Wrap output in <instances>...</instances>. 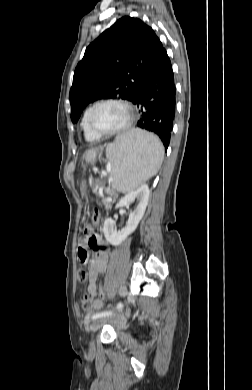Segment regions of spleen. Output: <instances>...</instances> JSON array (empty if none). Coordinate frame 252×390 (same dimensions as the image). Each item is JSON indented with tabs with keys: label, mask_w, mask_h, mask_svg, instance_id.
I'll return each mask as SVG.
<instances>
[{
	"label": "spleen",
	"mask_w": 252,
	"mask_h": 390,
	"mask_svg": "<svg viewBox=\"0 0 252 390\" xmlns=\"http://www.w3.org/2000/svg\"><path fill=\"white\" fill-rule=\"evenodd\" d=\"M106 156L112 164V187L128 193L156 175L163 161L164 148L154 134L133 129L117 136L115 143L107 148Z\"/></svg>",
	"instance_id": "1"
}]
</instances>
